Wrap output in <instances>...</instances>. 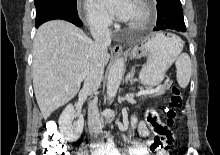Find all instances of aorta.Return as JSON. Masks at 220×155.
I'll use <instances>...</instances> for the list:
<instances>
[{
    "instance_id": "aorta-1",
    "label": "aorta",
    "mask_w": 220,
    "mask_h": 155,
    "mask_svg": "<svg viewBox=\"0 0 220 155\" xmlns=\"http://www.w3.org/2000/svg\"><path fill=\"white\" fill-rule=\"evenodd\" d=\"M124 73V61L117 58L113 62L107 78V97L112 99L118 91Z\"/></svg>"
}]
</instances>
